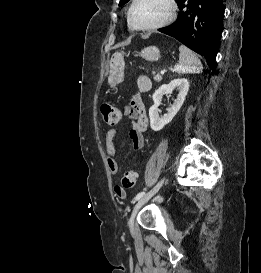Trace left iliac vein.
<instances>
[{
	"mask_svg": "<svg viewBox=\"0 0 261 273\" xmlns=\"http://www.w3.org/2000/svg\"><path fill=\"white\" fill-rule=\"evenodd\" d=\"M164 181V180H163ZM157 191L153 188L152 191H150L148 194L144 195L143 197H141L138 202L135 204L133 210H132V213H131V216L129 218V221H128V225L131 229V231L133 230V225H134V219H135V216L138 212V210L156 193Z\"/></svg>",
	"mask_w": 261,
	"mask_h": 273,
	"instance_id": "obj_1",
	"label": "left iliac vein"
}]
</instances>
